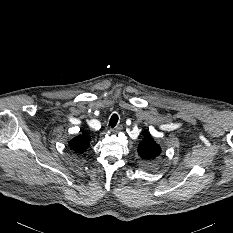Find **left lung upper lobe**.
I'll list each match as a JSON object with an SVG mask.
<instances>
[{"label":"left lung upper lobe","instance_id":"left-lung-upper-lobe-1","mask_svg":"<svg viewBox=\"0 0 233 233\" xmlns=\"http://www.w3.org/2000/svg\"><path fill=\"white\" fill-rule=\"evenodd\" d=\"M138 153L147 166L153 167L158 162L161 148L150 135H146L138 146Z\"/></svg>","mask_w":233,"mask_h":233}]
</instances>
